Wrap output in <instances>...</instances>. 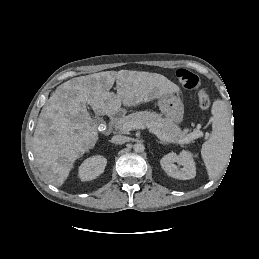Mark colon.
I'll use <instances>...</instances> for the list:
<instances>
[{"label": "colon", "mask_w": 259, "mask_h": 259, "mask_svg": "<svg viewBox=\"0 0 259 259\" xmlns=\"http://www.w3.org/2000/svg\"><path fill=\"white\" fill-rule=\"evenodd\" d=\"M179 83L186 89L197 92L199 107L207 110L210 107V97L206 90L201 86L198 76L186 69H179L176 73Z\"/></svg>", "instance_id": "colon-1"}]
</instances>
